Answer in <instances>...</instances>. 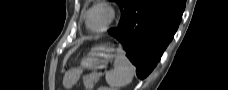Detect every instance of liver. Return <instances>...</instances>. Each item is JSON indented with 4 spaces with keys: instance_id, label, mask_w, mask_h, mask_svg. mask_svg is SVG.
<instances>
[{
    "instance_id": "6515ba94",
    "label": "liver",
    "mask_w": 228,
    "mask_h": 90,
    "mask_svg": "<svg viewBox=\"0 0 228 90\" xmlns=\"http://www.w3.org/2000/svg\"><path fill=\"white\" fill-rule=\"evenodd\" d=\"M80 45V42L75 46L73 47L72 49H70L68 51V53L66 54V56L64 57V60H63V65L66 63L67 59L69 58V56L78 48V46Z\"/></svg>"
}]
</instances>
